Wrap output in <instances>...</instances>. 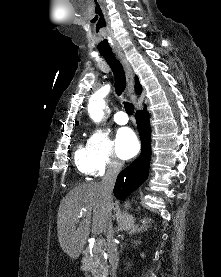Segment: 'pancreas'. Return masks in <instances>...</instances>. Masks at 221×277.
<instances>
[{
	"mask_svg": "<svg viewBox=\"0 0 221 277\" xmlns=\"http://www.w3.org/2000/svg\"><path fill=\"white\" fill-rule=\"evenodd\" d=\"M101 249L102 246L99 247L95 244L93 248L94 256L92 257L86 252L82 259L81 268L87 277H107L108 270L106 263L104 262L102 255H99Z\"/></svg>",
	"mask_w": 221,
	"mask_h": 277,
	"instance_id": "pancreas-1",
	"label": "pancreas"
}]
</instances>
